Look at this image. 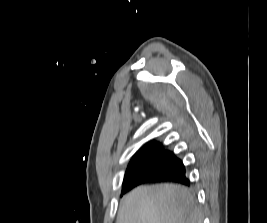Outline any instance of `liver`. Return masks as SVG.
<instances>
[{
	"label": "liver",
	"instance_id": "liver-1",
	"mask_svg": "<svg viewBox=\"0 0 267 223\" xmlns=\"http://www.w3.org/2000/svg\"><path fill=\"white\" fill-rule=\"evenodd\" d=\"M116 223H202L193 196L175 184L138 187L124 196Z\"/></svg>",
	"mask_w": 267,
	"mask_h": 223
}]
</instances>
